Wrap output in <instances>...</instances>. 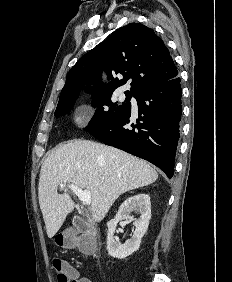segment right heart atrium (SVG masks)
<instances>
[{"label": "right heart atrium", "instance_id": "obj_1", "mask_svg": "<svg viewBox=\"0 0 232 282\" xmlns=\"http://www.w3.org/2000/svg\"><path fill=\"white\" fill-rule=\"evenodd\" d=\"M89 117H90L89 109L87 107H82L77 111L73 121L75 125L83 126L84 124H86Z\"/></svg>", "mask_w": 232, "mask_h": 282}]
</instances>
